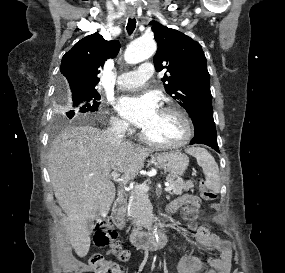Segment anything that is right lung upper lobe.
Listing matches in <instances>:
<instances>
[{
    "label": "right lung upper lobe",
    "mask_w": 285,
    "mask_h": 273,
    "mask_svg": "<svg viewBox=\"0 0 285 273\" xmlns=\"http://www.w3.org/2000/svg\"><path fill=\"white\" fill-rule=\"evenodd\" d=\"M120 49L117 40L106 41L94 33L78 41L62 58L61 81L69 92L93 90L100 79L99 68L105 61L114 58Z\"/></svg>",
    "instance_id": "cb5924a9"
}]
</instances>
